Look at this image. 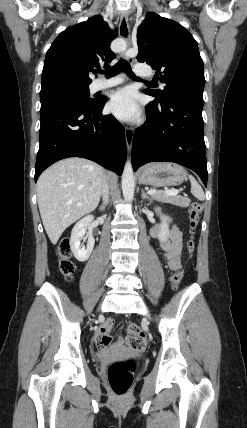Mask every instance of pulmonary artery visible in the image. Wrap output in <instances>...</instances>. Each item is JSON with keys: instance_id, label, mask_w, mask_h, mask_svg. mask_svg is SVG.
<instances>
[{"instance_id": "obj_1", "label": "pulmonary artery", "mask_w": 247, "mask_h": 428, "mask_svg": "<svg viewBox=\"0 0 247 428\" xmlns=\"http://www.w3.org/2000/svg\"><path fill=\"white\" fill-rule=\"evenodd\" d=\"M134 71L138 76L149 77L152 75V70L150 69V67L144 64H136ZM122 82H123V79L121 77H115L109 80H99L95 83L94 89L101 90V89L109 88V87H113L118 84H121Z\"/></svg>"}]
</instances>
